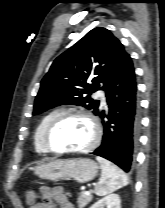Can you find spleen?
Masks as SVG:
<instances>
[{
  "label": "spleen",
  "mask_w": 165,
  "mask_h": 208,
  "mask_svg": "<svg viewBox=\"0 0 165 208\" xmlns=\"http://www.w3.org/2000/svg\"><path fill=\"white\" fill-rule=\"evenodd\" d=\"M96 159L102 169L101 178L95 186L96 195L104 196L128 185V177L119 167L102 157Z\"/></svg>",
  "instance_id": "spleen-1"
}]
</instances>
